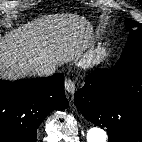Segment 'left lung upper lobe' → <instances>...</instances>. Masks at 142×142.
Here are the masks:
<instances>
[{"instance_id":"5c2ea615","label":"left lung upper lobe","mask_w":142,"mask_h":142,"mask_svg":"<svg viewBox=\"0 0 142 142\" xmlns=\"http://www.w3.org/2000/svg\"><path fill=\"white\" fill-rule=\"evenodd\" d=\"M125 27L130 32L125 49L117 68L126 66H142V25L130 19H126Z\"/></svg>"}]
</instances>
